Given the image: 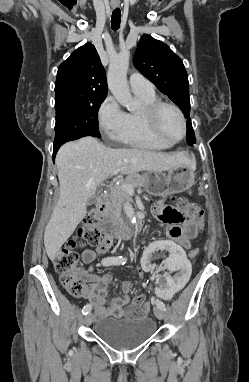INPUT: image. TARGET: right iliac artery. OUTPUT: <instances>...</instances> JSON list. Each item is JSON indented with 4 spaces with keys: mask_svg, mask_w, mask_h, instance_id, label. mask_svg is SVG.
Returning <instances> with one entry per match:
<instances>
[{
    "mask_svg": "<svg viewBox=\"0 0 249 382\" xmlns=\"http://www.w3.org/2000/svg\"><path fill=\"white\" fill-rule=\"evenodd\" d=\"M103 266H110V265H123L126 263V258L123 256H118V257H106L102 259L101 261ZM91 304H86L83 309L82 313L83 315H87L91 311Z\"/></svg>",
    "mask_w": 249,
    "mask_h": 382,
    "instance_id": "obj_1",
    "label": "right iliac artery"
}]
</instances>
